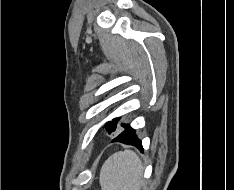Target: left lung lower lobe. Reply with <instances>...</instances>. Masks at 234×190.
<instances>
[{"label":"left lung lower lobe","mask_w":234,"mask_h":190,"mask_svg":"<svg viewBox=\"0 0 234 190\" xmlns=\"http://www.w3.org/2000/svg\"><path fill=\"white\" fill-rule=\"evenodd\" d=\"M122 127L125 129L120 133L112 142H121L127 145H133L143 152L142 143L135 135V130L130 127L129 124H123Z\"/></svg>","instance_id":"left-lung-lower-lobe-1"}]
</instances>
